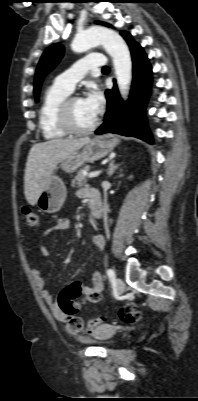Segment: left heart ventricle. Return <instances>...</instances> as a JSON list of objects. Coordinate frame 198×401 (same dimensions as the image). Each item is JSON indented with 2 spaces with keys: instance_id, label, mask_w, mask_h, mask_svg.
I'll list each match as a JSON object with an SVG mask.
<instances>
[{
  "instance_id": "1",
  "label": "left heart ventricle",
  "mask_w": 198,
  "mask_h": 401,
  "mask_svg": "<svg viewBox=\"0 0 198 401\" xmlns=\"http://www.w3.org/2000/svg\"><path fill=\"white\" fill-rule=\"evenodd\" d=\"M72 117L78 127H87L96 119L90 109L86 106L83 99H77L72 104Z\"/></svg>"
}]
</instances>
